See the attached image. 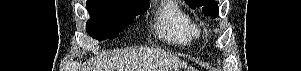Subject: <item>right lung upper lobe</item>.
Masks as SVG:
<instances>
[{
    "label": "right lung upper lobe",
    "mask_w": 301,
    "mask_h": 71,
    "mask_svg": "<svg viewBox=\"0 0 301 71\" xmlns=\"http://www.w3.org/2000/svg\"><path fill=\"white\" fill-rule=\"evenodd\" d=\"M132 1H143V2H149L148 0H132Z\"/></svg>",
    "instance_id": "right-lung-upper-lobe-1"
}]
</instances>
